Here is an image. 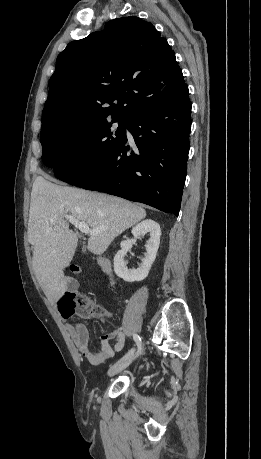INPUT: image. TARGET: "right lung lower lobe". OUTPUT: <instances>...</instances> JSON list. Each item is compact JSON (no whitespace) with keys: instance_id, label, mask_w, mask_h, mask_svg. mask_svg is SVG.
<instances>
[{"instance_id":"obj_1","label":"right lung lower lobe","mask_w":261,"mask_h":459,"mask_svg":"<svg viewBox=\"0 0 261 459\" xmlns=\"http://www.w3.org/2000/svg\"><path fill=\"white\" fill-rule=\"evenodd\" d=\"M188 86L128 120L127 137L106 161L69 184L141 202L178 216L187 171L191 103Z\"/></svg>"}]
</instances>
